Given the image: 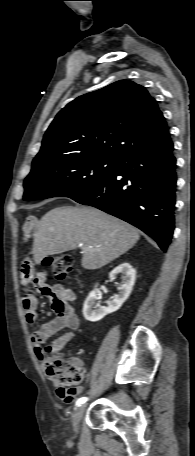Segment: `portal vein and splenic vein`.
<instances>
[{
  "label": "portal vein and splenic vein",
  "mask_w": 195,
  "mask_h": 456,
  "mask_svg": "<svg viewBox=\"0 0 195 456\" xmlns=\"http://www.w3.org/2000/svg\"><path fill=\"white\" fill-rule=\"evenodd\" d=\"M79 246H80V247H82V248H84V247H85V245H84L83 243H82V244H80Z\"/></svg>",
  "instance_id": "portal-vein-and-splenic-vein-1"
}]
</instances>
